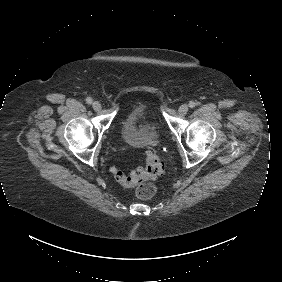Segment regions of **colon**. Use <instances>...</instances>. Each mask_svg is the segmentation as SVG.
Returning <instances> with one entry per match:
<instances>
[{
    "mask_svg": "<svg viewBox=\"0 0 282 282\" xmlns=\"http://www.w3.org/2000/svg\"><path fill=\"white\" fill-rule=\"evenodd\" d=\"M112 175L114 179L123 187L131 188L135 182H139L144 178H157L162 172V164L159 155L154 151H147L144 154V166L137 173L125 174L120 168L113 167ZM158 188L152 184H143L135 191V196L138 199L150 200L156 193Z\"/></svg>",
    "mask_w": 282,
    "mask_h": 282,
    "instance_id": "colon-1",
    "label": "colon"
}]
</instances>
